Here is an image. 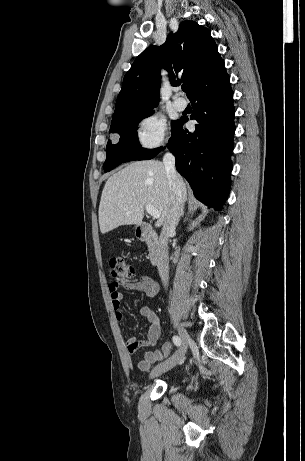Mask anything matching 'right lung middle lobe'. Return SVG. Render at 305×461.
<instances>
[{"label":"right lung middle lobe","instance_id":"obj_1","mask_svg":"<svg viewBox=\"0 0 305 461\" xmlns=\"http://www.w3.org/2000/svg\"><path fill=\"white\" fill-rule=\"evenodd\" d=\"M151 114H153V111L131 116L118 122L110 129V133H118L120 139L117 144H112L111 140L107 143V157L103 165L105 172L112 170L123 162L151 159L155 153L161 150V147L153 150L144 149L138 143L137 125L143 118ZM176 123L177 121L171 122L172 130Z\"/></svg>","mask_w":305,"mask_h":461}]
</instances>
